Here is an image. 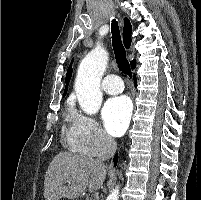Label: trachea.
Segmentation results:
<instances>
[{
  "label": "trachea",
  "mask_w": 201,
  "mask_h": 200,
  "mask_svg": "<svg viewBox=\"0 0 201 200\" xmlns=\"http://www.w3.org/2000/svg\"><path fill=\"white\" fill-rule=\"evenodd\" d=\"M111 33L112 46L118 67L123 74L128 75L131 78L132 72L126 58L125 48L122 44L118 22L115 19H113L111 23Z\"/></svg>",
  "instance_id": "1"
}]
</instances>
